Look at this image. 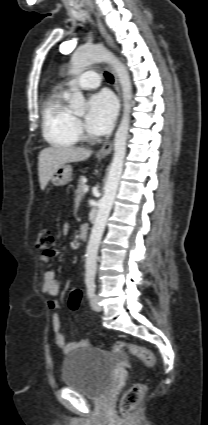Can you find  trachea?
Masks as SVG:
<instances>
[{
	"mask_svg": "<svg viewBox=\"0 0 208 425\" xmlns=\"http://www.w3.org/2000/svg\"><path fill=\"white\" fill-rule=\"evenodd\" d=\"M105 77H106V79H107V81H108L109 83H113L114 78H113L112 74H110V73L106 72V73H105Z\"/></svg>",
	"mask_w": 208,
	"mask_h": 425,
	"instance_id": "1",
	"label": "trachea"
}]
</instances>
